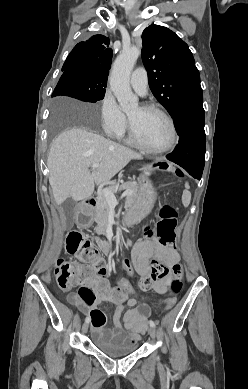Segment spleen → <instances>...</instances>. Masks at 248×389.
Instances as JSON below:
<instances>
[{
    "instance_id": "3e777b00",
    "label": "spleen",
    "mask_w": 248,
    "mask_h": 389,
    "mask_svg": "<svg viewBox=\"0 0 248 389\" xmlns=\"http://www.w3.org/2000/svg\"><path fill=\"white\" fill-rule=\"evenodd\" d=\"M185 190L183 191V194H182V203L185 207H188L189 204H190V201H191V193L189 191V184L186 183L185 184Z\"/></svg>"
}]
</instances>
